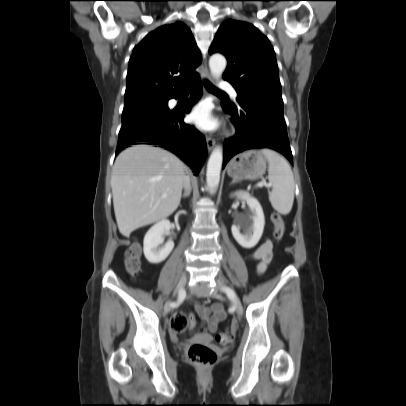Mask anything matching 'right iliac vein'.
Wrapping results in <instances>:
<instances>
[{
	"mask_svg": "<svg viewBox=\"0 0 406 406\" xmlns=\"http://www.w3.org/2000/svg\"><path fill=\"white\" fill-rule=\"evenodd\" d=\"M186 282H187V277H186L185 275H183V276L180 278V280H179V282H178V284H177V286H176L175 294L178 293V292H180L181 290H183V288H184L185 285H186ZM170 310H171V301L168 300V301L165 303V305H164V312H165V313H169Z\"/></svg>",
	"mask_w": 406,
	"mask_h": 406,
	"instance_id": "63e3f726",
	"label": "right iliac vein"
}]
</instances>
